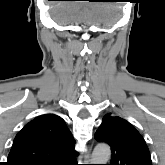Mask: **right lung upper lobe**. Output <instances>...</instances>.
Wrapping results in <instances>:
<instances>
[{
  "label": "right lung upper lobe",
  "instance_id": "1",
  "mask_svg": "<svg viewBox=\"0 0 165 165\" xmlns=\"http://www.w3.org/2000/svg\"><path fill=\"white\" fill-rule=\"evenodd\" d=\"M65 121L54 114L30 121L16 135L7 165H54L66 154H78Z\"/></svg>",
  "mask_w": 165,
  "mask_h": 165
}]
</instances>
